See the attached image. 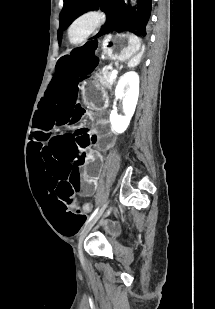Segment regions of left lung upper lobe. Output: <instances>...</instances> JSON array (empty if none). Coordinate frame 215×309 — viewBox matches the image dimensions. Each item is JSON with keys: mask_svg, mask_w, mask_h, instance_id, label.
Here are the masks:
<instances>
[{"mask_svg": "<svg viewBox=\"0 0 215 309\" xmlns=\"http://www.w3.org/2000/svg\"><path fill=\"white\" fill-rule=\"evenodd\" d=\"M152 0H137L136 10L125 5L123 0H64L60 14L58 41L61 42L62 31L72 21L90 8L101 7L107 14V23L95 38L114 31H130L139 36L147 35L151 15Z\"/></svg>", "mask_w": 215, "mask_h": 309, "instance_id": "5c2ea615", "label": "left lung upper lobe"}]
</instances>
